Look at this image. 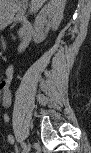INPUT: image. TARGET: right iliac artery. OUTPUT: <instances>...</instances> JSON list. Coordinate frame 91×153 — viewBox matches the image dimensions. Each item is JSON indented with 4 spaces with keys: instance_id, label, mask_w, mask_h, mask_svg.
Returning a JSON list of instances; mask_svg holds the SVG:
<instances>
[{
    "instance_id": "right-iliac-artery-1",
    "label": "right iliac artery",
    "mask_w": 91,
    "mask_h": 153,
    "mask_svg": "<svg viewBox=\"0 0 91 153\" xmlns=\"http://www.w3.org/2000/svg\"><path fill=\"white\" fill-rule=\"evenodd\" d=\"M22 148H24L26 146V144L24 142L21 143Z\"/></svg>"
}]
</instances>
